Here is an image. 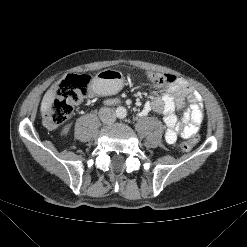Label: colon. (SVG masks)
<instances>
[{"label":"colon","mask_w":247,"mask_h":247,"mask_svg":"<svg viewBox=\"0 0 247 247\" xmlns=\"http://www.w3.org/2000/svg\"><path fill=\"white\" fill-rule=\"evenodd\" d=\"M145 78L150 83L161 86L171 84L176 81V76L166 73L145 74ZM90 87V77L82 74H68L61 80L53 91V97L49 103L44 122L48 128H54L67 121L75 111L76 106L88 95ZM199 141V136L183 141L180 147L184 151L191 150Z\"/></svg>","instance_id":"colon-1"}]
</instances>
